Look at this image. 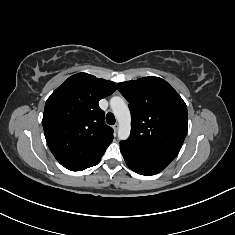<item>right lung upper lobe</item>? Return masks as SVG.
Returning a JSON list of instances; mask_svg holds the SVG:
<instances>
[{
    "label": "right lung upper lobe",
    "instance_id": "right-lung-upper-lobe-1",
    "mask_svg": "<svg viewBox=\"0 0 235 235\" xmlns=\"http://www.w3.org/2000/svg\"><path fill=\"white\" fill-rule=\"evenodd\" d=\"M115 90L111 81L78 73L47 99L42 120L45 138L62 166H85L104 154L114 137L98 102Z\"/></svg>",
    "mask_w": 235,
    "mask_h": 235
}]
</instances>
